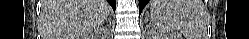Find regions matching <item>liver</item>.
<instances>
[{"mask_svg":"<svg viewBox=\"0 0 249 39\" xmlns=\"http://www.w3.org/2000/svg\"><path fill=\"white\" fill-rule=\"evenodd\" d=\"M41 3L43 39H88L111 11L106 0H41Z\"/></svg>","mask_w":249,"mask_h":39,"instance_id":"6515ba94","label":"liver"}]
</instances>
